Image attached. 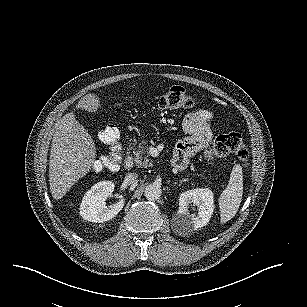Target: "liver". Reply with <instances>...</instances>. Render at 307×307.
<instances>
[{
  "label": "liver",
  "instance_id": "1",
  "mask_svg": "<svg viewBox=\"0 0 307 307\" xmlns=\"http://www.w3.org/2000/svg\"><path fill=\"white\" fill-rule=\"evenodd\" d=\"M99 107L100 99L96 94L85 95L76 105L88 112H96ZM96 153L92 137L73 112L65 114L57 124L50 150L49 184L53 199L63 198L90 172Z\"/></svg>",
  "mask_w": 307,
  "mask_h": 307
}]
</instances>
